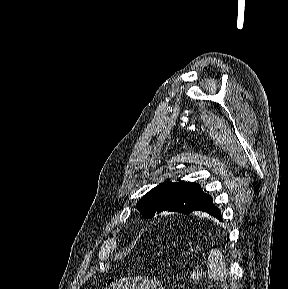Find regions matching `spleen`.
<instances>
[{"label": "spleen", "mask_w": 288, "mask_h": 289, "mask_svg": "<svg viewBox=\"0 0 288 289\" xmlns=\"http://www.w3.org/2000/svg\"><path fill=\"white\" fill-rule=\"evenodd\" d=\"M208 268L212 278L216 281H224L227 277L226 264L222 253L217 249H212L208 256Z\"/></svg>", "instance_id": "3e777b00"}]
</instances>
